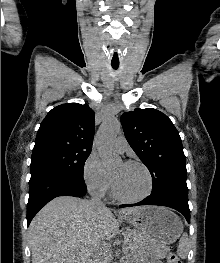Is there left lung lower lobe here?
<instances>
[{
    "label": "left lung lower lobe",
    "instance_id": "obj_1",
    "mask_svg": "<svg viewBox=\"0 0 220 263\" xmlns=\"http://www.w3.org/2000/svg\"><path fill=\"white\" fill-rule=\"evenodd\" d=\"M138 205H158L173 208L182 213L187 222L190 223L188 198H183L173 193L151 194L149 197L136 204H125L121 205L120 207H130Z\"/></svg>",
    "mask_w": 220,
    "mask_h": 263
}]
</instances>
